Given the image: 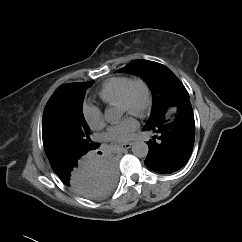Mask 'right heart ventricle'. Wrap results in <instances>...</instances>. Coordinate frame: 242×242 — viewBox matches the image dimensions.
Listing matches in <instances>:
<instances>
[{
    "instance_id": "e07e8e85",
    "label": "right heart ventricle",
    "mask_w": 242,
    "mask_h": 242,
    "mask_svg": "<svg viewBox=\"0 0 242 242\" xmlns=\"http://www.w3.org/2000/svg\"><path fill=\"white\" fill-rule=\"evenodd\" d=\"M132 79L128 76H117L105 81L98 90L100 99L108 104H118L122 94Z\"/></svg>"
}]
</instances>
